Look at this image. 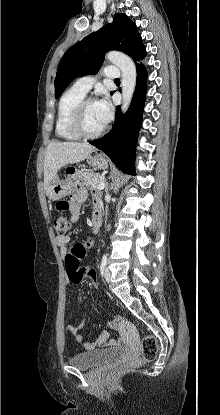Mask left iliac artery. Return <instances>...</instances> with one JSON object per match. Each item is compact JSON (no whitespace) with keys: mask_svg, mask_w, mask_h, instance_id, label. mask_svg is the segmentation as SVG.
I'll return each mask as SVG.
<instances>
[{"mask_svg":"<svg viewBox=\"0 0 220 415\" xmlns=\"http://www.w3.org/2000/svg\"><path fill=\"white\" fill-rule=\"evenodd\" d=\"M107 264V254H104L101 261V269L105 268Z\"/></svg>","mask_w":220,"mask_h":415,"instance_id":"1","label":"left iliac artery"}]
</instances>
